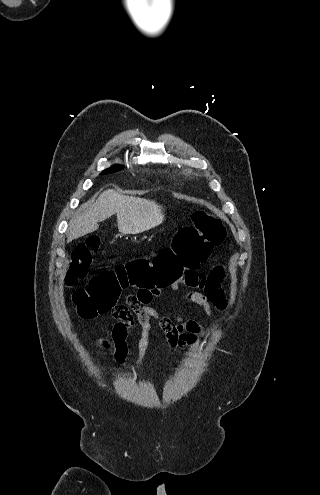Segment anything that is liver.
<instances>
[{
    "label": "liver",
    "instance_id": "6515ba94",
    "mask_svg": "<svg viewBox=\"0 0 320 495\" xmlns=\"http://www.w3.org/2000/svg\"><path fill=\"white\" fill-rule=\"evenodd\" d=\"M162 207L153 200L124 196L108 189L89 207L80 208L69 223L67 242L98 230L99 222L117 214L118 231L138 234L159 225L164 216Z\"/></svg>",
    "mask_w": 320,
    "mask_h": 495
}]
</instances>
